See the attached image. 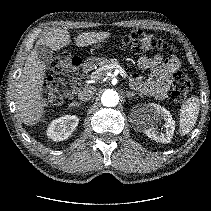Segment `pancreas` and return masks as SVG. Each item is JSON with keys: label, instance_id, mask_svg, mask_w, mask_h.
Segmentation results:
<instances>
[{"label": "pancreas", "instance_id": "pancreas-1", "mask_svg": "<svg viewBox=\"0 0 211 211\" xmlns=\"http://www.w3.org/2000/svg\"><path fill=\"white\" fill-rule=\"evenodd\" d=\"M114 66H120L116 58L105 60L101 62L100 67L96 70V74L102 77L106 74V72L114 69Z\"/></svg>", "mask_w": 211, "mask_h": 211}]
</instances>
